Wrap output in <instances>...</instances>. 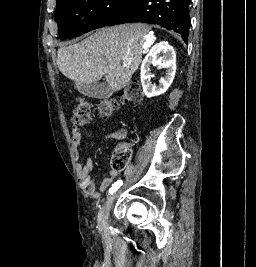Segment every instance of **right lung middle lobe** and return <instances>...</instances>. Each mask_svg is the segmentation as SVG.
<instances>
[{
	"instance_id": "dd1d6c3e",
	"label": "right lung middle lobe",
	"mask_w": 256,
	"mask_h": 267,
	"mask_svg": "<svg viewBox=\"0 0 256 267\" xmlns=\"http://www.w3.org/2000/svg\"><path fill=\"white\" fill-rule=\"evenodd\" d=\"M137 0H60L55 20L62 38L80 36L127 13Z\"/></svg>"
}]
</instances>
